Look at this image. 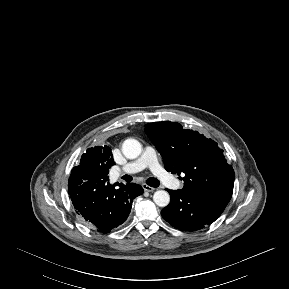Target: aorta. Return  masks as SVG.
<instances>
[{
  "mask_svg": "<svg viewBox=\"0 0 289 289\" xmlns=\"http://www.w3.org/2000/svg\"><path fill=\"white\" fill-rule=\"evenodd\" d=\"M142 146L136 139H127L122 145V152L126 158L135 159L141 154ZM154 203L159 207H165L170 202V195L167 191L158 190L153 195Z\"/></svg>",
  "mask_w": 289,
  "mask_h": 289,
  "instance_id": "1",
  "label": "aorta"
}]
</instances>
